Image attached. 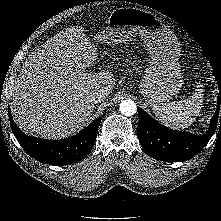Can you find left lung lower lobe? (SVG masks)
Masks as SVG:
<instances>
[{"mask_svg":"<svg viewBox=\"0 0 221 221\" xmlns=\"http://www.w3.org/2000/svg\"><path fill=\"white\" fill-rule=\"evenodd\" d=\"M220 105L221 92L219 91L217 109L211 119L210 128L201 136L169 129L138 108L137 135L141 146L150 157L157 160L180 162L191 159L208 143L219 122V129L221 128Z\"/></svg>","mask_w":221,"mask_h":221,"instance_id":"left-lung-lower-lobe-1","label":"left lung lower lobe"}]
</instances>
